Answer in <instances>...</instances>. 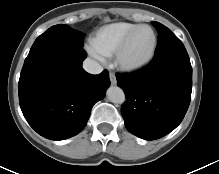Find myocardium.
Here are the masks:
<instances>
[{
  "label": "myocardium",
  "instance_id": "f54148a6",
  "mask_svg": "<svg viewBox=\"0 0 219 174\" xmlns=\"http://www.w3.org/2000/svg\"><path fill=\"white\" fill-rule=\"evenodd\" d=\"M144 28L149 29L153 34V42H152V46H151V49H150L148 55L145 58H143L139 61H136V62H129V61L125 60L124 55H125V52L130 44V41L132 40L134 35L137 33V31H139L140 29H144ZM157 42H158L157 34H156L155 30L153 29V27H151L150 25H147V24H142V25L137 26L123 39V41L119 45L118 49L116 50V52L114 54L115 65L120 70L125 71V72H135V71L143 69L154 58L156 48H157Z\"/></svg>",
  "mask_w": 219,
  "mask_h": 174
}]
</instances>
